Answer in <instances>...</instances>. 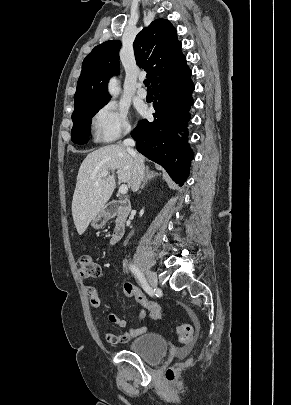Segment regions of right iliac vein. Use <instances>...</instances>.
<instances>
[{
  "instance_id": "1",
  "label": "right iliac vein",
  "mask_w": 291,
  "mask_h": 405,
  "mask_svg": "<svg viewBox=\"0 0 291 405\" xmlns=\"http://www.w3.org/2000/svg\"><path fill=\"white\" fill-rule=\"evenodd\" d=\"M146 275H147V279H148V282L151 285V287L154 288V289L157 288L158 279H157L156 275L154 274V272L147 271Z\"/></svg>"
}]
</instances>
